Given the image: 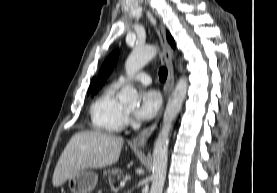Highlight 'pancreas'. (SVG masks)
Instances as JSON below:
<instances>
[{"label": "pancreas", "mask_w": 277, "mask_h": 193, "mask_svg": "<svg viewBox=\"0 0 277 193\" xmlns=\"http://www.w3.org/2000/svg\"><path fill=\"white\" fill-rule=\"evenodd\" d=\"M103 176L114 182L115 178L119 180L123 177V171L120 168H109L107 170H104Z\"/></svg>", "instance_id": "pancreas-1"}]
</instances>
